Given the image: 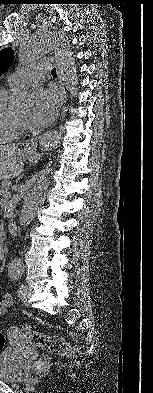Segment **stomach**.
I'll list each match as a JSON object with an SVG mask.
<instances>
[{
	"label": "stomach",
	"instance_id": "1",
	"mask_svg": "<svg viewBox=\"0 0 153 393\" xmlns=\"http://www.w3.org/2000/svg\"><path fill=\"white\" fill-rule=\"evenodd\" d=\"M24 156L28 161H32L36 157V152L35 151H24Z\"/></svg>",
	"mask_w": 153,
	"mask_h": 393
}]
</instances>
